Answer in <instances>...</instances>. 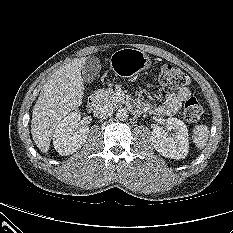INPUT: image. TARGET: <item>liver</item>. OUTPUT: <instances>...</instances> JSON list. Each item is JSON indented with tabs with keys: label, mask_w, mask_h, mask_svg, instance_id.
I'll return each mask as SVG.
<instances>
[{
	"label": "liver",
	"mask_w": 233,
	"mask_h": 233,
	"mask_svg": "<svg viewBox=\"0 0 233 233\" xmlns=\"http://www.w3.org/2000/svg\"><path fill=\"white\" fill-rule=\"evenodd\" d=\"M86 57L76 58L56 70L44 84L33 108L31 133L39 150L47 153L57 124L78 108L84 95L82 69Z\"/></svg>",
	"instance_id": "1"
}]
</instances>
